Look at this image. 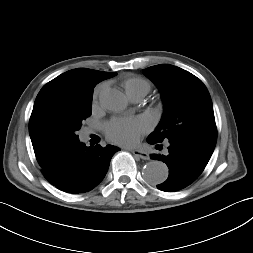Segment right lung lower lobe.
<instances>
[{"label":"right lung lower lobe","mask_w":253,"mask_h":253,"mask_svg":"<svg viewBox=\"0 0 253 253\" xmlns=\"http://www.w3.org/2000/svg\"><path fill=\"white\" fill-rule=\"evenodd\" d=\"M119 150L112 145L87 147L78 141L60 153L42 173L52 185L64 192H88L103 180L112 156Z\"/></svg>","instance_id":"obj_1"}]
</instances>
